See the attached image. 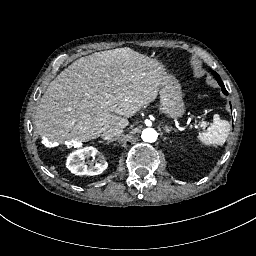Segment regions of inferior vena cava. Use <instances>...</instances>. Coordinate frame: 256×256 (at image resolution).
Instances as JSON below:
<instances>
[{"label":"inferior vena cava","instance_id":"inferior-vena-cava-1","mask_svg":"<svg viewBox=\"0 0 256 256\" xmlns=\"http://www.w3.org/2000/svg\"><path fill=\"white\" fill-rule=\"evenodd\" d=\"M123 130L121 128H115V129H109L106 132H103L101 134V137L104 140L108 141H115L117 137H119L122 134Z\"/></svg>","mask_w":256,"mask_h":256}]
</instances>
